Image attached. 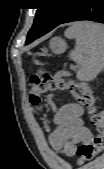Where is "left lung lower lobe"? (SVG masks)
<instances>
[{
	"label": "left lung lower lobe",
	"mask_w": 104,
	"mask_h": 169,
	"mask_svg": "<svg viewBox=\"0 0 104 169\" xmlns=\"http://www.w3.org/2000/svg\"><path fill=\"white\" fill-rule=\"evenodd\" d=\"M81 20L104 23V9L102 8V4L94 0H77L74 10L60 24ZM48 32L42 31L32 34L27 37L26 44L31 43Z\"/></svg>",
	"instance_id": "1"
}]
</instances>
